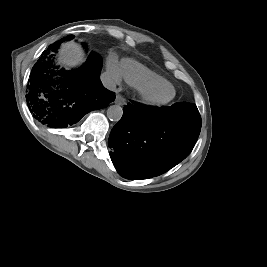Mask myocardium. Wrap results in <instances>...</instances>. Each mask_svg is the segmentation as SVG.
<instances>
[{
	"instance_id": "obj_1",
	"label": "myocardium",
	"mask_w": 267,
	"mask_h": 267,
	"mask_svg": "<svg viewBox=\"0 0 267 267\" xmlns=\"http://www.w3.org/2000/svg\"><path fill=\"white\" fill-rule=\"evenodd\" d=\"M163 87H169L172 89V93L169 97H166L163 99H156V98L151 96L152 91L159 89V88H163ZM138 92H139V96H140L141 100L144 103H146L148 105H152V106L166 105V104L170 103L172 100H174V98L176 96V90H175L174 86L169 82L146 84V85H143L141 87H138Z\"/></svg>"
}]
</instances>
